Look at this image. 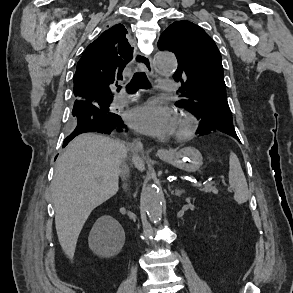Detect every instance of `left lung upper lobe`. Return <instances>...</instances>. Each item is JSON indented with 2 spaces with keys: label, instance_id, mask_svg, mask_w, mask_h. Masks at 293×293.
I'll return each mask as SVG.
<instances>
[{
  "label": "left lung upper lobe",
  "instance_id": "1",
  "mask_svg": "<svg viewBox=\"0 0 293 293\" xmlns=\"http://www.w3.org/2000/svg\"><path fill=\"white\" fill-rule=\"evenodd\" d=\"M158 45L177 57L173 77L182 87L176 106L199 116L205 129H234L221 55L213 39L192 22L175 21L161 34Z\"/></svg>",
  "mask_w": 293,
  "mask_h": 293
}]
</instances>
